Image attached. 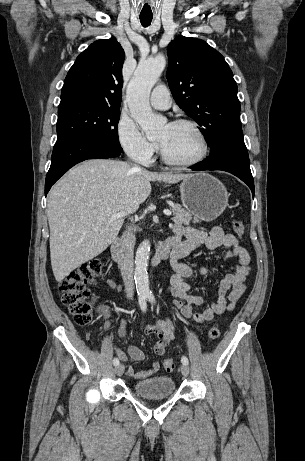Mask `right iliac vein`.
Instances as JSON below:
<instances>
[{
    "label": "right iliac vein",
    "mask_w": 305,
    "mask_h": 461,
    "mask_svg": "<svg viewBox=\"0 0 305 461\" xmlns=\"http://www.w3.org/2000/svg\"><path fill=\"white\" fill-rule=\"evenodd\" d=\"M124 365L123 364H118L116 367H115V373L118 375V376H121L123 373H124Z\"/></svg>",
    "instance_id": "obj_1"
}]
</instances>
